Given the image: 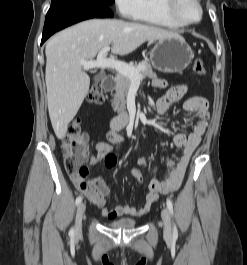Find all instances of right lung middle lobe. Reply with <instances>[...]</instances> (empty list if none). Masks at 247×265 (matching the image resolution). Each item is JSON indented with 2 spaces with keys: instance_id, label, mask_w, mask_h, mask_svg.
<instances>
[{
  "instance_id": "1",
  "label": "right lung middle lobe",
  "mask_w": 247,
  "mask_h": 265,
  "mask_svg": "<svg viewBox=\"0 0 247 265\" xmlns=\"http://www.w3.org/2000/svg\"><path fill=\"white\" fill-rule=\"evenodd\" d=\"M114 0H52L51 7L70 4V3H89V4H102V5H112Z\"/></svg>"
}]
</instances>
